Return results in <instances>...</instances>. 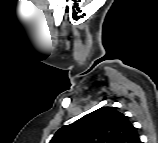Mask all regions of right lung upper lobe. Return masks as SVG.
I'll list each match as a JSON object with an SVG mask.
<instances>
[{
    "mask_svg": "<svg viewBox=\"0 0 158 143\" xmlns=\"http://www.w3.org/2000/svg\"><path fill=\"white\" fill-rule=\"evenodd\" d=\"M137 129L114 107L97 109L59 129L50 143H139Z\"/></svg>",
    "mask_w": 158,
    "mask_h": 143,
    "instance_id": "1",
    "label": "right lung upper lobe"
}]
</instances>
